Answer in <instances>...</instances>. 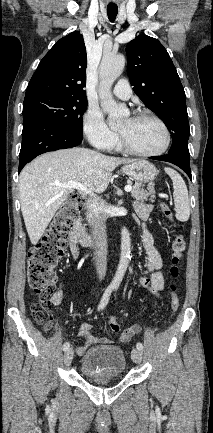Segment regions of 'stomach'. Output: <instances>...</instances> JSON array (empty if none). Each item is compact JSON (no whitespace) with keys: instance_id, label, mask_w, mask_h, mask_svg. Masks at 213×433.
I'll list each match as a JSON object with an SVG mask.
<instances>
[{"instance_id":"stomach-1","label":"stomach","mask_w":213,"mask_h":433,"mask_svg":"<svg viewBox=\"0 0 213 433\" xmlns=\"http://www.w3.org/2000/svg\"><path fill=\"white\" fill-rule=\"evenodd\" d=\"M123 173L140 183L152 182L157 176L156 167L146 160H135L122 167Z\"/></svg>"}]
</instances>
